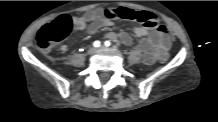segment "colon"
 <instances>
[{"mask_svg":"<svg viewBox=\"0 0 218 122\" xmlns=\"http://www.w3.org/2000/svg\"><path fill=\"white\" fill-rule=\"evenodd\" d=\"M106 15L110 18L137 21L147 28L161 27L158 17L154 13L148 11H135L123 7H110L106 9ZM71 25L72 21L67 15H62L46 24L37 33L36 43L38 47L42 50H50L67 37L71 30ZM172 56V51H164L163 55H157V62H159L160 65H165L166 61L170 60Z\"/></svg>","mask_w":218,"mask_h":122,"instance_id":"obj_1","label":"colon"}]
</instances>
